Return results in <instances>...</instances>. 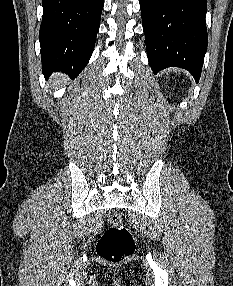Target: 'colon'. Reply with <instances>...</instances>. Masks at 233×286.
Listing matches in <instances>:
<instances>
[{
  "instance_id": "1",
  "label": "colon",
  "mask_w": 233,
  "mask_h": 286,
  "mask_svg": "<svg viewBox=\"0 0 233 286\" xmlns=\"http://www.w3.org/2000/svg\"><path fill=\"white\" fill-rule=\"evenodd\" d=\"M135 249V241L130 230L124 225L118 213L107 217V228L96 247L97 255L107 263L118 264L130 257Z\"/></svg>"
}]
</instances>
